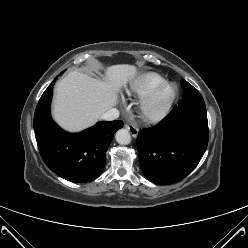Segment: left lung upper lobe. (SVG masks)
I'll list each match as a JSON object with an SVG mask.
<instances>
[{
    "label": "left lung upper lobe",
    "mask_w": 248,
    "mask_h": 248,
    "mask_svg": "<svg viewBox=\"0 0 248 248\" xmlns=\"http://www.w3.org/2000/svg\"><path fill=\"white\" fill-rule=\"evenodd\" d=\"M181 84L184 94L178 108H186L190 104L203 101L201 94L191 84L185 80H181Z\"/></svg>",
    "instance_id": "1"
}]
</instances>
